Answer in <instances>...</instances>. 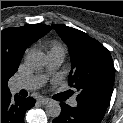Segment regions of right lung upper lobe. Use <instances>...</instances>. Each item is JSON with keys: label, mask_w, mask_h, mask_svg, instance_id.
<instances>
[{"label": "right lung upper lobe", "mask_w": 123, "mask_h": 123, "mask_svg": "<svg viewBox=\"0 0 123 123\" xmlns=\"http://www.w3.org/2000/svg\"><path fill=\"white\" fill-rule=\"evenodd\" d=\"M51 29L44 24H30L1 31V97L10 94L8 80L18 70L25 49Z\"/></svg>", "instance_id": "obj_1"}]
</instances>
